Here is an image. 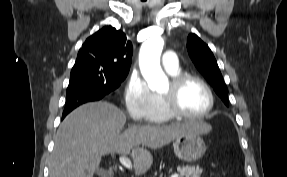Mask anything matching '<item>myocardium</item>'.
<instances>
[{
  "mask_svg": "<svg viewBox=\"0 0 287 177\" xmlns=\"http://www.w3.org/2000/svg\"><path fill=\"white\" fill-rule=\"evenodd\" d=\"M190 82H196L200 84L208 94L209 105L207 109L201 114L186 113L183 110H181L178 105V98L180 92L182 91L184 86ZM161 97L163 99L165 109L167 110V112L172 117L182 119L194 120V119L206 118L212 112L215 105V96L210 85L204 79L192 74H180L174 77L170 82L169 89L166 92L162 93Z\"/></svg>",
  "mask_w": 287,
  "mask_h": 177,
  "instance_id": "1",
  "label": "myocardium"
}]
</instances>
